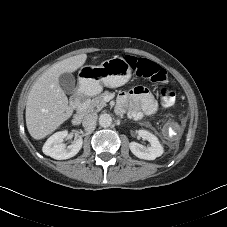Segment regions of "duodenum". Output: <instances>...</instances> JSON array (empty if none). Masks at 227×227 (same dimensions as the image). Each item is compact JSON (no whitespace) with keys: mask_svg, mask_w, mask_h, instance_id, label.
<instances>
[{"mask_svg":"<svg viewBox=\"0 0 227 227\" xmlns=\"http://www.w3.org/2000/svg\"><path fill=\"white\" fill-rule=\"evenodd\" d=\"M73 105L76 108V112L71 121L73 125L77 126L82 122V119L87 111L88 100L83 92H78L74 95Z\"/></svg>","mask_w":227,"mask_h":227,"instance_id":"duodenum-1","label":"duodenum"}]
</instances>
